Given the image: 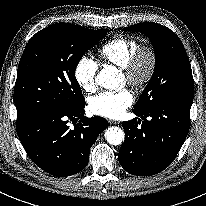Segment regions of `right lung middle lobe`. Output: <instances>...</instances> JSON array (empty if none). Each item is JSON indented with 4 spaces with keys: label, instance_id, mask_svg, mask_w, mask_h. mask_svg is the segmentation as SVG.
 Returning <instances> with one entry per match:
<instances>
[{
    "label": "right lung middle lobe",
    "instance_id": "right-lung-middle-lobe-1",
    "mask_svg": "<svg viewBox=\"0 0 206 206\" xmlns=\"http://www.w3.org/2000/svg\"><path fill=\"white\" fill-rule=\"evenodd\" d=\"M108 31L57 23L37 32L28 41L17 70V119L85 102L75 70L84 53Z\"/></svg>",
    "mask_w": 206,
    "mask_h": 206
}]
</instances>
